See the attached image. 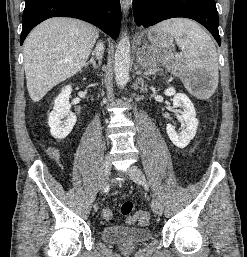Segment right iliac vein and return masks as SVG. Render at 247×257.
<instances>
[{
  "label": "right iliac vein",
  "instance_id": "obj_1",
  "mask_svg": "<svg viewBox=\"0 0 247 257\" xmlns=\"http://www.w3.org/2000/svg\"><path fill=\"white\" fill-rule=\"evenodd\" d=\"M110 171H111V159H110V156H106L102 166L101 177L99 181L100 192H102L106 187V183H107V179L109 177Z\"/></svg>",
  "mask_w": 247,
  "mask_h": 257
}]
</instances>
